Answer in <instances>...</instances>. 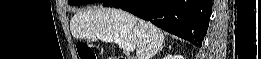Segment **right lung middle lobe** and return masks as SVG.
I'll use <instances>...</instances> for the list:
<instances>
[{"label": "right lung middle lobe", "mask_w": 261, "mask_h": 59, "mask_svg": "<svg viewBox=\"0 0 261 59\" xmlns=\"http://www.w3.org/2000/svg\"><path fill=\"white\" fill-rule=\"evenodd\" d=\"M104 1L105 0H70V1H68V3L70 5H82V4H89V3H94V2L102 3Z\"/></svg>", "instance_id": "right-lung-middle-lobe-1"}]
</instances>
